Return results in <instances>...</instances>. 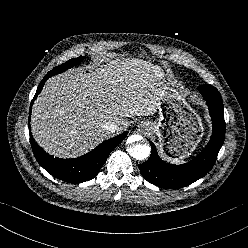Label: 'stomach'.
<instances>
[{"instance_id":"1","label":"stomach","mask_w":248,"mask_h":248,"mask_svg":"<svg viewBox=\"0 0 248 248\" xmlns=\"http://www.w3.org/2000/svg\"><path fill=\"white\" fill-rule=\"evenodd\" d=\"M162 84L156 121H142L141 130L155 134L159 139L160 151L168 160L185 159L195 150L204 134L199 115L185 97L166 83L159 69H154Z\"/></svg>"}]
</instances>
